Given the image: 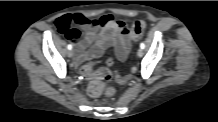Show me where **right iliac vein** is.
<instances>
[{
  "instance_id": "right-iliac-vein-1",
  "label": "right iliac vein",
  "mask_w": 218,
  "mask_h": 122,
  "mask_svg": "<svg viewBox=\"0 0 218 122\" xmlns=\"http://www.w3.org/2000/svg\"><path fill=\"white\" fill-rule=\"evenodd\" d=\"M67 55H68V57H73V55H74L73 50H69V51L67 52Z\"/></svg>"
}]
</instances>
